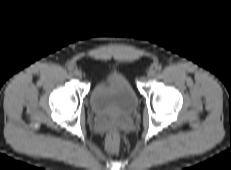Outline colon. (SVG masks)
Returning a JSON list of instances; mask_svg holds the SVG:
<instances>
[{"instance_id": "1", "label": "colon", "mask_w": 231, "mask_h": 170, "mask_svg": "<svg viewBox=\"0 0 231 170\" xmlns=\"http://www.w3.org/2000/svg\"><path fill=\"white\" fill-rule=\"evenodd\" d=\"M121 142H122V137L120 133L117 131H113L109 133L106 138V143H105L106 149L109 152H116L119 150Z\"/></svg>"}]
</instances>
